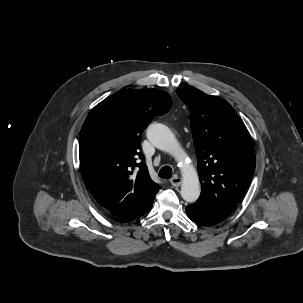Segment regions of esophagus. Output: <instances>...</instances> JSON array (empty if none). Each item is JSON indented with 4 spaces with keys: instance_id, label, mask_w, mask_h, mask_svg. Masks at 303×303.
<instances>
[{
    "instance_id": "esophagus-1",
    "label": "esophagus",
    "mask_w": 303,
    "mask_h": 303,
    "mask_svg": "<svg viewBox=\"0 0 303 303\" xmlns=\"http://www.w3.org/2000/svg\"><path fill=\"white\" fill-rule=\"evenodd\" d=\"M181 182H182V180H181V178L178 177V176H174L173 178L170 179V183H171V185L174 186V187L180 186V185H181Z\"/></svg>"
}]
</instances>
